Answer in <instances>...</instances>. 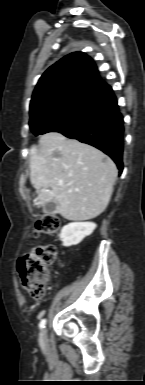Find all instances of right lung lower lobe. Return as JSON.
Segmentation results:
<instances>
[{"mask_svg": "<svg viewBox=\"0 0 145 385\" xmlns=\"http://www.w3.org/2000/svg\"><path fill=\"white\" fill-rule=\"evenodd\" d=\"M55 132L100 149L113 159L119 172H122L123 117L110 87L101 92L84 111Z\"/></svg>", "mask_w": 145, "mask_h": 385, "instance_id": "right-lung-lower-lobe-1", "label": "right lung lower lobe"}]
</instances>
